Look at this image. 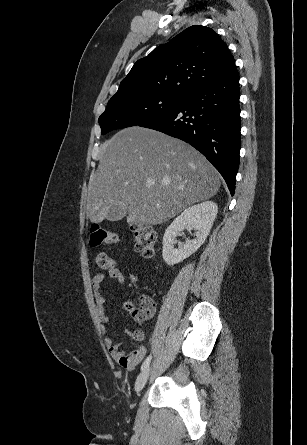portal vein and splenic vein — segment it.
<instances>
[{
  "mask_svg": "<svg viewBox=\"0 0 307 445\" xmlns=\"http://www.w3.org/2000/svg\"><path fill=\"white\" fill-rule=\"evenodd\" d=\"M148 184H154V182H152V180H148ZM178 188H182V186H178Z\"/></svg>",
  "mask_w": 307,
  "mask_h": 445,
  "instance_id": "18ae733b",
  "label": "portal vein and splenic vein"
}]
</instances>
